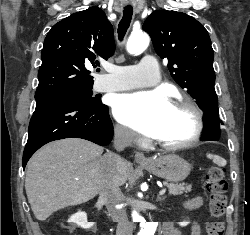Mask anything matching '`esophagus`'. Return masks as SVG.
Segmentation results:
<instances>
[{"label": "esophagus", "mask_w": 250, "mask_h": 235, "mask_svg": "<svg viewBox=\"0 0 250 235\" xmlns=\"http://www.w3.org/2000/svg\"><path fill=\"white\" fill-rule=\"evenodd\" d=\"M135 161L137 163H150V160L144 156V154L140 151L135 153Z\"/></svg>", "instance_id": "obj_1"}]
</instances>
